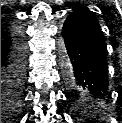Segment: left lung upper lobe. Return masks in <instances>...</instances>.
Here are the masks:
<instances>
[{
	"label": "left lung upper lobe",
	"instance_id": "1",
	"mask_svg": "<svg viewBox=\"0 0 122 123\" xmlns=\"http://www.w3.org/2000/svg\"><path fill=\"white\" fill-rule=\"evenodd\" d=\"M71 14L77 15L79 17H83L86 20L93 23L95 26L99 27V22L93 12L89 11L88 8L78 4L73 8V12Z\"/></svg>",
	"mask_w": 122,
	"mask_h": 123
}]
</instances>
